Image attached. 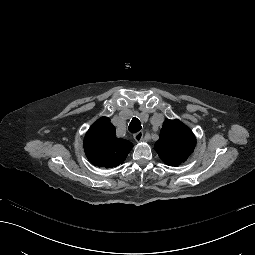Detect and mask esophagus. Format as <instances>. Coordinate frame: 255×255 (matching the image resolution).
I'll use <instances>...</instances> for the list:
<instances>
[{"label": "esophagus", "mask_w": 255, "mask_h": 255, "mask_svg": "<svg viewBox=\"0 0 255 255\" xmlns=\"http://www.w3.org/2000/svg\"><path fill=\"white\" fill-rule=\"evenodd\" d=\"M134 139L136 140V142H141L142 139H143V133H142V131L136 133V134L134 135Z\"/></svg>", "instance_id": "esophagus-1"}]
</instances>
